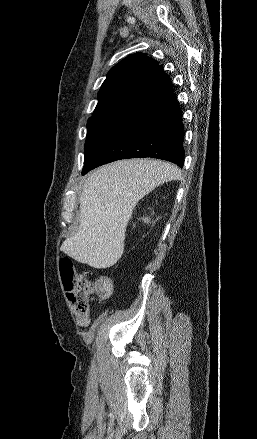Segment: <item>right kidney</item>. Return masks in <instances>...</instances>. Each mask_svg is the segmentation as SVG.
I'll return each instance as SVG.
<instances>
[{"label": "right kidney", "instance_id": "right-kidney-1", "mask_svg": "<svg viewBox=\"0 0 257 439\" xmlns=\"http://www.w3.org/2000/svg\"><path fill=\"white\" fill-rule=\"evenodd\" d=\"M148 221H149V220H148L147 218L144 219V222H147V223H148Z\"/></svg>", "mask_w": 257, "mask_h": 439}]
</instances>
